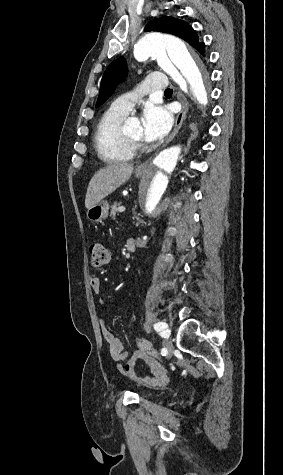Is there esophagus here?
<instances>
[{
    "mask_svg": "<svg viewBox=\"0 0 283 475\" xmlns=\"http://www.w3.org/2000/svg\"><path fill=\"white\" fill-rule=\"evenodd\" d=\"M176 95H177L178 100L181 103V110L178 113V115L176 116L173 131L170 134V136L167 138V140L163 143V147L166 146L169 142H171V140H173L175 135L178 133V131L180 130V127L183 123V120L186 118V113L188 111V103H187V99H186L185 95L179 90L176 92ZM149 161L150 160H148L146 162H143L140 165H138L137 168H136V171L146 170V168L149 164Z\"/></svg>",
    "mask_w": 283,
    "mask_h": 475,
    "instance_id": "1",
    "label": "esophagus"
}]
</instances>
